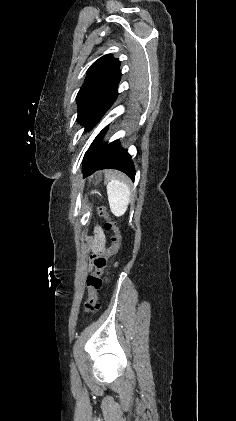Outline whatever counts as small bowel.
Returning <instances> with one entry per match:
<instances>
[{
  "label": "small bowel",
  "instance_id": "1",
  "mask_svg": "<svg viewBox=\"0 0 236 421\" xmlns=\"http://www.w3.org/2000/svg\"><path fill=\"white\" fill-rule=\"evenodd\" d=\"M95 236H96V241H95V244H94V247H93V251L98 252V251H101L104 248V243H105L104 233H103L102 229L98 226L95 229Z\"/></svg>",
  "mask_w": 236,
  "mask_h": 421
}]
</instances>
